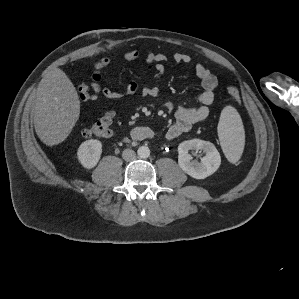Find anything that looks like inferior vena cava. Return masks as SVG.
<instances>
[{
  "label": "inferior vena cava",
  "instance_id": "602c4592",
  "mask_svg": "<svg viewBox=\"0 0 299 299\" xmlns=\"http://www.w3.org/2000/svg\"><path fill=\"white\" fill-rule=\"evenodd\" d=\"M122 157L126 161H132L136 157V153L132 149H125L122 153Z\"/></svg>",
  "mask_w": 299,
  "mask_h": 299
}]
</instances>
